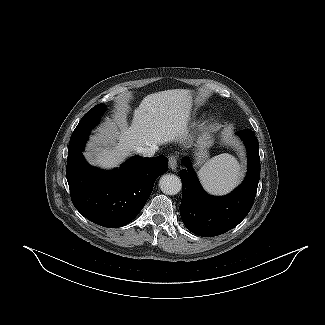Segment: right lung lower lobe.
I'll return each instance as SVG.
<instances>
[{"mask_svg":"<svg viewBox=\"0 0 325 325\" xmlns=\"http://www.w3.org/2000/svg\"><path fill=\"white\" fill-rule=\"evenodd\" d=\"M89 134L73 132L69 142L66 174L72 203L98 225L124 226L146 204L155 180L168 170V159L135 156L119 169L103 171L91 167L82 155Z\"/></svg>","mask_w":325,"mask_h":325,"instance_id":"1","label":"right lung lower lobe"}]
</instances>
